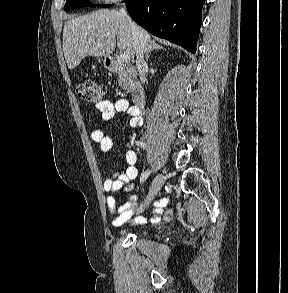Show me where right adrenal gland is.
Returning <instances> with one entry per match:
<instances>
[{
	"label": "right adrenal gland",
	"mask_w": 288,
	"mask_h": 293,
	"mask_svg": "<svg viewBox=\"0 0 288 293\" xmlns=\"http://www.w3.org/2000/svg\"><path fill=\"white\" fill-rule=\"evenodd\" d=\"M163 49L162 46L158 45L155 41H151L149 43V45L146 47V51H145V58L148 61L149 59V55L151 54L152 51L154 50H161Z\"/></svg>",
	"instance_id": "obj_1"
}]
</instances>
